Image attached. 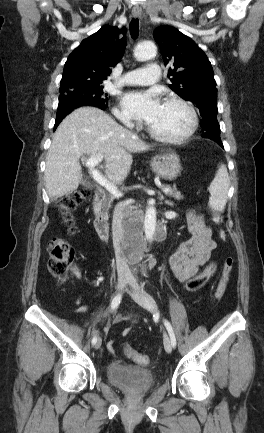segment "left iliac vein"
Segmentation results:
<instances>
[{
  "label": "left iliac vein",
  "instance_id": "1",
  "mask_svg": "<svg viewBox=\"0 0 264 433\" xmlns=\"http://www.w3.org/2000/svg\"><path fill=\"white\" fill-rule=\"evenodd\" d=\"M129 285L132 288V297L133 299L140 304L142 307L146 308L150 312L157 313L158 307L154 299L149 296L148 294L144 293L140 290L137 282L135 279H131L129 281ZM164 348L166 352L170 353L172 351V344L169 336L165 333L164 334Z\"/></svg>",
  "mask_w": 264,
  "mask_h": 433
}]
</instances>
